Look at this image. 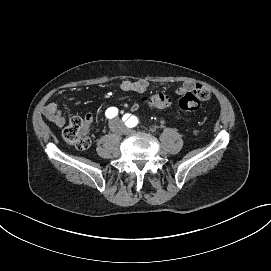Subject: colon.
Masks as SVG:
<instances>
[{"label":"colon","mask_w":271,"mask_h":271,"mask_svg":"<svg viewBox=\"0 0 271 271\" xmlns=\"http://www.w3.org/2000/svg\"><path fill=\"white\" fill-rule=\"evenodd\" d=\"M210 98V91L203 85L197 84L193 91L185 93L178 102L184 111H196L202 101ZM146 103L153 108L167 109L174 105L170 96L163 93H155L145 99ZM89 124L81 118H73L63 131V137L70 145L79 150H85L90 145L88 136Z\"/></svg>","instance_id":"5ec220e1"}]
</instances>
